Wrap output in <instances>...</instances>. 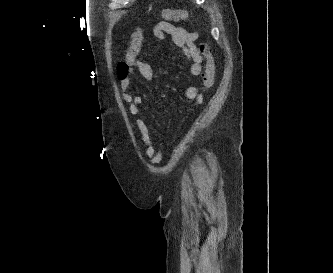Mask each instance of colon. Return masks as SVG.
Here are the masks:
<instances>
[{
  "label": "colon",
  "mask_w": 333,
  "mask_h": 273,
  "mask_svg": "<svg viewBox=\"0 0 333 273\" xmlns=\"http://www.w3.org/2000/svg\"><path fill=\"white\" fill-rule=\"evenodd\" d=\"M161 15L166 20H188L190 19V14L186 10L182 9H163ZM143 44V29L137 26L132 35L131 42L128 47L125 58L118 64V74L120 79L127 76L129 68L138 59L141 47ZM199 54L205 59V68L202 73L203 89L209 90L212 88L215 82L216 76V65L214 58L211 54L209 45L207 43H202L198 49Z\"/></svg>",
  "instance_id": "colon-1"
}]
</instances>
